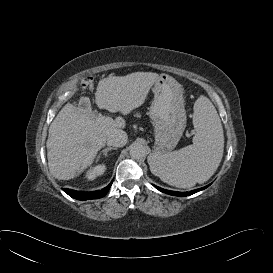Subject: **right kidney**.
Here are the masks:
<instances>
[{
	"instance_id": "ca27d5eb",
	"label": "right kidney",
	"mask_w": 273,
	"mask_h": 273,
	"mask_svg": "<svg viewBox=\"0 0 273 273\" xmlns=\"http://www.w3.org/2000/svg\"><path fill=\"white\" fill-rule=\"evenodd\" d=\"M106 170L105 165H97L93 168H91L87 173H86V177L89 180H93L95 179L97 176L102 175Z\"/></svg>"
}]
</instances>
